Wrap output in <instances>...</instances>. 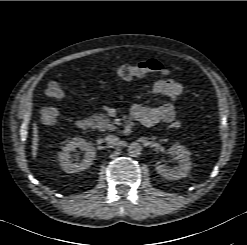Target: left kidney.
I'll list each match as a JSON object with an SVG mask.
<instances>
[{"label": "left kidney", "mask_w": 247, "mask_h": 245, "mask_svg": "<svg viewBox=\"0 0 247 245\" xmlns=\"http://www.w3.org/2000/svg\"><path fill=\"white\" fill-rule=\"evenodd\" d=\"M170 153L176 155L180 164L178 167L173 169H168L161 162L156 163V171L167 180H178L184 178L191 171V159L190 152L179 144H174L169 149Z\"/></svg>", "instance_id": "left-kidney-1"}]
</instances>
